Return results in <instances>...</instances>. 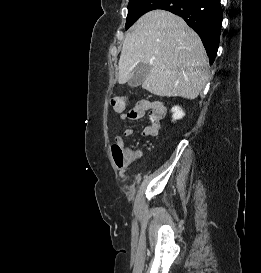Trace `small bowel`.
Here are the masks:
<instances>
[{
	"label": "small bowel",
	"mask_w": 261,
	"mask_h": 273,
	"mask_svg": "<svg viewBox=\"0 0 261 273\" xmlns=\"http://www.w3.org/2000/svg\"><path fill=\"white\" fill-rule=\"evenodd\" d=\"M140 102L144 107V111L147 109H151V113H150L151 123L144 128L143 134L145 136H150V137L157 136L161 129V120L165 113L164 106L161 103L154 102V101L144 100ZM121 118L124 120H131L128 117V112L122 113ZM132 135H133L132 128H126L122 133V137H130ZM126 155H127V164L125 167L121 168L120 170L121 175L125 174L127 166H129L130 164H132L133 162L137 161L138 159L142 157V151L137 148H127Z\"/></svg>",
	"instance_id": "1"
}]
</instances>
